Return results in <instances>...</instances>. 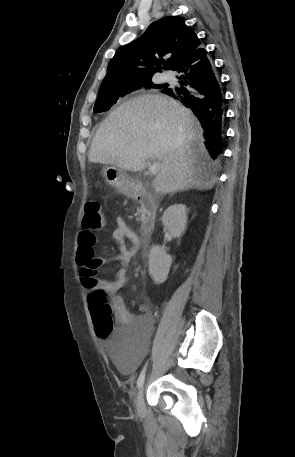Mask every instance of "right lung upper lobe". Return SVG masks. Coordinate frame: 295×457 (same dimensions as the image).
Returning <instances> with one entry per match:
<instances>
[{"label":"right lung upper lobe","mask_w":295,"mask_h":457,"mask_svg":"<svg viewBox=\"0 0 295 457\" xmlns=\"http://www.w3.org/2000/svg\"><path fill=\"white\" fill-rule=\"evenodd\" d=\"M201 44L193 29L181 17H164L153 22L137 40L119 48L110 60L100 90L138 85L160 71L162 57L169 55L166 70L176 65Z\"/></svg>","instance_id":"obj_1"}]
</instances>
